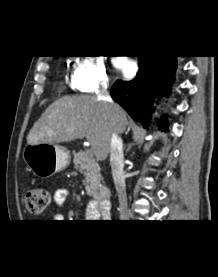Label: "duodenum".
<instances>
[{"mask_svg": "<svg viewBox=\"0 0 218 277\" xmlns=\"http://www.w3.org/2000/svg\"><path fill=\"white\" fill-rule=\"evenodd\" d=\"M95 200L103 213H108L111 206V190L108 187L99 189L95 194Z\"/></svg>", "mask_w": 218, "mask_h": 277, "instance_id": "1", "label": "duodenum"}]
</instances>
